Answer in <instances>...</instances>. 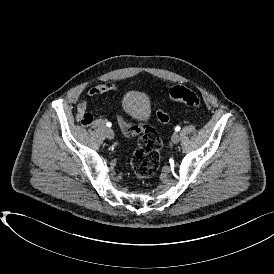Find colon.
Wrapping results in <instances>:
<instances>
[{
    "instance_id": "1",
    "label": "colon",
    "mask_w": 274,
    "mask_h": 274,
    "mask_svg": "<svg viewBox=\"0 0 274 274\" xmlns=\"http://www.w3.org/2000/svg\"><path fill=\"white\" fill-rule=\"evenodd\" d=\"M169 95L175 102L195 108L201 106L199 96L186 86L178 85L171 88ZM155 115L157 121L161 124H166L170 121V115L165 111L159 110ZM117 122L126 137L130 138L139 134L142 135L132 157L131 169L139 179L150 178L156 173L160 165V149L162 143L156 129L152 125L142 122H127L121 115L117 116Z\"/></svg>"
}]
</instances>
